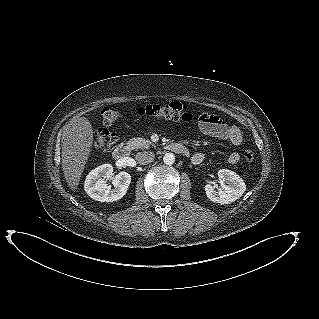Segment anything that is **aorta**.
I'll list each match as a JSON object with an SVG mask.
<instances>
[{
  "mask_svg": "<svg viewBox=\"0 0 319 319\" xmlns=\"http://www.w3.org/2000/svg\"><path fill=\"white\" fill-rule=\"evenodd\" d=\"M163 162L166 165H172L175 162V155L173 153H166L163 157Z\"/></svg>",
  "mask_w": 319,
  "mask_h": 319,
  "instance_id": "762f6f07",
  "label": "aorta"
}]
</instances>
